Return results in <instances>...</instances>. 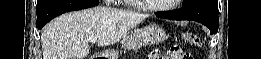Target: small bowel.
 I'll return each mask as SVG.
<instances>
[{
    "label": "small bowel",
    "mask_w": 261,
    "mask_h": 59,
    "mask_svg": "<svg viewBox=\"0 0 261 59\" xmlns=\"http://www.w3.org/2000/svg\"><path fill=\"white\" fill-rule=\"evenodd\" d=\"M158 50H155V51H153L152 53H151V55L149 56V58L150 59H154V58H151L152 57V55L154 54V53H156ZM178 59V58H177Z\"/></svg>",
    "instance_id": "c3829d8e"
}]
</instances>
